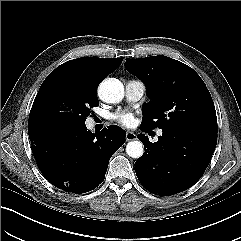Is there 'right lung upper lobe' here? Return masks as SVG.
<instances>
[{
    "label": "right lung upper lobe",
    "instance_id": "1",
    "mask_svg": "<svg viewBox=\"0 0 241 241\" xmlns=\"http://www.w3.org/2000/svg\"><path fill=\"white\" fill-rule=\"evenodd\" d=\"M122 58L103 59L85 57L67 61L58 66L53 73H66L70 75L87 92L97 94V87L101 81L118 68Z\"/></svg>",
    "mask_w": 241,
    "mask_h": 241
}]
</instances>
